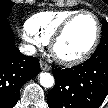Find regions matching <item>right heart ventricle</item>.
Masks as SVG:
<instances>
[{
	"label": "right heart ventricle",
	"mask_w": 108,
	"mask_h": 108,
	"mask_svg": "<svg viewBox=\"0 0 108 108\" xmlns=\"http://www.w3.org/2000/svg\"><path fill=\"white\" fill-rule=\"evenodd\" d=\"M78 11L57 10L42 11L31 16L26 23L27 29L43 44L50 42L58 27L71 15Z\"/></svg>",
	"instance_id": "e07e8e85"
}]
</instances>
